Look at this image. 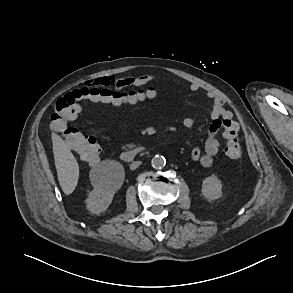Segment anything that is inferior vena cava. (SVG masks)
<instances>
[{
    "instance_id": "602c4592",
    "label": "inferior vena cava",
    "mask_w": 293,
    "mask_h": 293,
    "mask_svg": "<svg viewBox=\"0 0 293 293\" xmlns=\"http://www.w3.org/2000/svg\"><path fill=\"white\" fill-rule=\"evenodd\" d=\"M141 165L140 161H135L130 165V169L131 170H135L136 168H138Z\"/></svg>"
}]
</instances>
